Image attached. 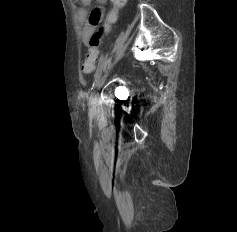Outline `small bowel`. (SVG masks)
Returning a JSON list of instances; mask_svg holds the SVG:
<instances>
[{"label": "small bowel", "mask_w": 237, "mask_h": 232, "mask_svg": "<svg viewBox=\"0 0 237 232\" xmlns=\"http://www.w3.org/2000/svg\"><path fill=\"white\" fill-rule=\"evenodd\" d=\"M93 0H80L83 7H80L78 10V21L80 25L83 26L82 29V40L87 44L90 38L94 35L95 28L103 20L105 8L104 4L107 0H96L99 6L94 7L90 12L86 9V6L89 5Z\"/></svg>", "instance_id": "small-bowel-1"}]
</instances>
